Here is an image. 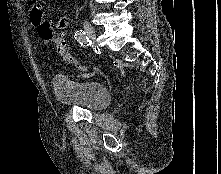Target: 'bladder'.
<instances>
[{
  "mask_svg": "<svg viewBox=\"0 0 221 174\" xmlns=\"http://www.w3.org/2000/svg\"><path fill=\"white\" fill-rule=\"evenodd\" d=\"M53 94L63 105L101 110L111 102V92L103 83L88 78H72L58 73L53 78Z\"/></svg>",
  "mask_w": 221,
  "mask_h": 174,
  "instance_id": "obj_1",
  "label": "bladder"
}]
</instances>
